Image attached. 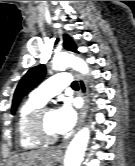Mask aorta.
Returning a JSON list of instances; mask_svg holds the SVG:
<instances>
[{"label": "aorta", "mask_w": 135, "mask_h": 166, "mask_svg": "<svg viewBox=\"0 0 135 166\" xmlns=\"http://www.w3.org/2000/svg\"><path fill=\"white\" fill-rule=\"evenodd\" d=\"M72 67L74 70L86 75L89 68L84 60L72 54L61 53L56 55L52 61V68L56 71ZM90 138L87 127L81 129L70 142L64 160V166H80Z\"/></svg>", "instance_id": "obj_1"}]
</instances>
